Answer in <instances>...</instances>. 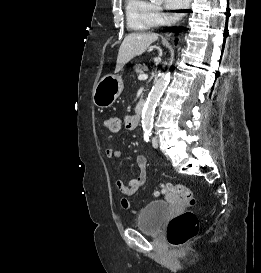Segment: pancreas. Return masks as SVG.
<instances>
[{
	"label": "pancreas",
	"instance_id": "1",
	"mask_svg": "<svg viewBox=\"0 0 261 273\" xmlns=\"http://www.w3.org/2000/svg\"><path fill=\"white\" fill-rule=\"evenodd\" d=\"M147 70H148V68H147V66H145V65L139 64V65H136V66H135V72H136L138 75L143 74L144 71H147Z\"/></svg>",
	"mask_w": 261,
	"mask_h": 273
}]
</instances>
